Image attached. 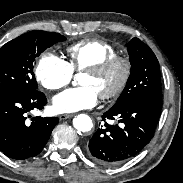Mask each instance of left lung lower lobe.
Listing matches in <instances>:
<instances>
[{
    "label": "left lung lower lobe",
    "instance_id": "obj_1",
    "mask_svg": "<svg viewBox=\"0 0 183 183\" xmlns=\"http://www.w3.org/2000/svg\"><path fill=\"white\" fill-rule=\"evenodd\" d=\"M161 107V101L143 99L110 108L103 121L117 118L118 123L105 122L92 136L89 151L93 160L114 166L137 155L153 138Z\"/></svg>",
    "mask_w": 183,
    "mask_h": 183
}]
</instances>
